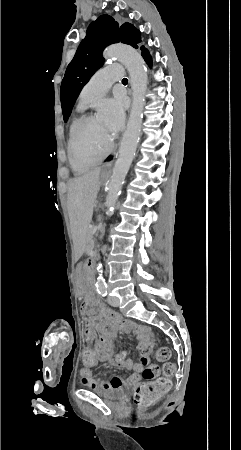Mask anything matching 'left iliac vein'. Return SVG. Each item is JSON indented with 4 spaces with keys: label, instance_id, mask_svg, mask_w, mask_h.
Instances as JSON below:
<instances>
[{
    "label": "left iliac vein",
    "instance_id": "4c4485c4",
    "mask_svg": "<svg viewBox=\"0 0 241 450\" xmlns=\"http://www.w3.org/2000/svg\"><path fill=\"white\" fill-rule=\"evenodd\" d=\"M108 303L113 307L119 306V299L117 297L108 296Z\"/></svg>",
    "mask_w": 241,
    "mask_h": 450
}]
</instances>
